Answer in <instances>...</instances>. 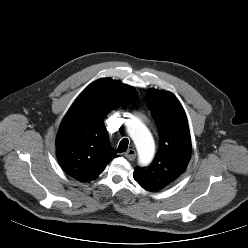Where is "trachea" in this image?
Returning <instances> with one entry per match:
<instances>
[{"instance_id": "3493384b", "label": "trachea", "mask_w": 248, "mask_h": 248, "mask_svg": "<svg viewBox=\"0 0 248 248\" xmlns=\"http://www.w3.org/2000/svg\"><path fill=\"white\" fill-rule=\"evenodd\" d=\"M129 140L127 138H124L120 141L118 145V153L125 152L128 148Z\"/></svg>"}]
</instances>
